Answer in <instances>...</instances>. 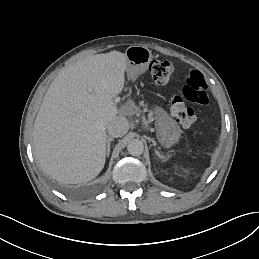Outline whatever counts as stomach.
I'll use <instances>...</instances> for the list:
<instances>
[{"mask_svg":"<svg viewBox=\"0 0 259 259\" xmlns=\"http://www.w3.org/2000/svg\"><path fill=\"white\" fill-rule=\"evenodd\" d=\"M126 57L130 64L125 68V79L128 83L133 84L143 73L141 67H146L152 60L151 51L144 46H130L125 51Z\"/></svg>","mask_w":259,"mask_h":259,"instance_id":"obj_1","label":"stomach"}]
</instances>
